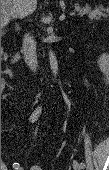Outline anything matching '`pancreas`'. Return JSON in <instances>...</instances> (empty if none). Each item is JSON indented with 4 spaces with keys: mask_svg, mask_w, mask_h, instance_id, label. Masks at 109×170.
<instances>
[{
    "mask_svg": "<svg viewBox=\"0 0 109 170\" xmlns=\"http://www.w3.org/2000/svg\"><path fill=\"white\" fill-rule=\"evenodd\" d=\"M75 10L79 13L80 16L88 15L90 19H100L101 17H107V9L96 8L92 10L90 7H80L79 5L75 6Z\"/></svg>",
    "mask_w": 109,
    "mask_h": 170,
    "instance_id": "1",
    "label": "pancreas"
}]
</instances>
